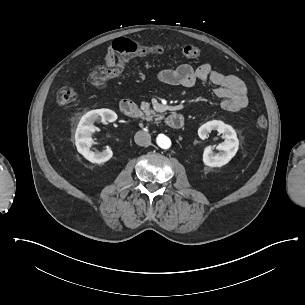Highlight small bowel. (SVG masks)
<instances>
[{
	"label": "small bowel",
	"instance_id": "1",
	"mask_svg": "<svg viewBox=\"0 0 305 305\" xmlns=\"http://www.w3.org/2000/svg\"><path fill=\"white\" fill-rule=\"evenodd\" d=\"M114 46H103L102 61L109 65L115 63ZM160 83L172 86L191 87L197 81L210 82L216 86L214 94L221 99V107L226 111L237 112L248 104V89L245 83L236 76L223 74L209 63H202L197 67L187 64L173 69H163L156 75Z\"/></svg>",
	"mask_w": 305,
	"mask_h": 305
}]
</instances>
